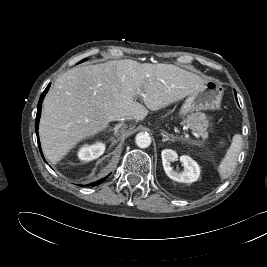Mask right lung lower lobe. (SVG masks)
<instances>
[{
    "label": "right lung lower lobe",
    "instance_id": "obj_1",
    "mask_svg": "<svg viewBox=\"0 0 267 267\" xmlns=\"http://www.w3.org/2000/svg\"><path fill=\"white\" fill-rule=\"evenodd\" d=\"M49 87H50V84L46 87V89L44 90V92L42 93L41 97H40V100H39V103H38V107H37V116H36V134H37V140H38V145H39V148H40V142H39V137H38V125H39V119H40V114H41V107H42V101L47 93V91L49 90ZM40 152H41V148H40ZM41 155H42V152H41ZM43 157V155H42ZM104 179H101L95 183H92L91 186H95V185H98L100 183H102ZM88 186V185H86Z\"/></svg>",
    "mask_w": 267,
    "mask_h": 267
}]
</instances>
